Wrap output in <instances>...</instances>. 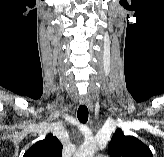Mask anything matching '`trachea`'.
<instances>
[{"instance_id": "trachea-1", "label": "trachea", "mask_w": 164, "mask_h": 157, "mask_svg": "<svg viewBox=\"0 0 164 157\" xmlns=\"http://www.w3.org/2000/svg\"><path fill=\"white\" fill-rule=\"evenodd\" d=\"M78 120L81 123H86L88 121V108L85 105H80L77 111Z\"/></svg>"}]
</instances>
